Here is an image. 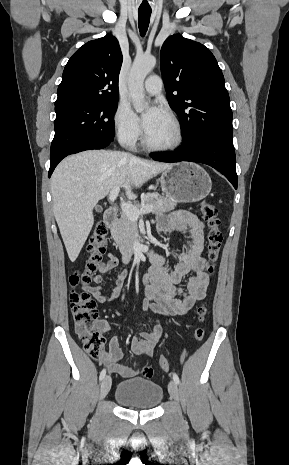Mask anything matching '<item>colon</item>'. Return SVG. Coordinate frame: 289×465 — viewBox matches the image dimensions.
Here are the masks:
<instances>
[{
	"label": "colon",
	"mask_w": 289,
	"mask_h": 465,
	"mask_svg": "<svg viewBox=\"0 0 289 465\" xmlns=\"http://www.w3.org/2000/svg\"><path fill=\"white\" fill-rule=\"evenodd\" d=\"M201 214L205 221L207 232V259L209 262L208 272H214L215 264L219 257L223 234L219 228L220 220L215 206L204 201L201 204ZM107 227L103 223H98L88 243V255L85 267L81 271L72 273L69 277V283L72 288L70 299V310L75 323V333L80 340L84 350L94 359H100L104 352V339L100 333V327L97 323L98 311L96 303L90 294L84 290L91 281L92 275L96 271L102 255L106 250L107 245ZM207 307L201 304L197 308V319L199 322L205 320ZM194 338L198 341L202 340L205 331L202 327H196L193 332ZM159 365L163 370L168 369L169 363L166 357L161 356ZM142 373L147 378H152L156 371L152 366H145Z\"/></svg>",
	"instance_id": "obj_1"
}]
</instances>
